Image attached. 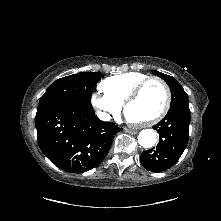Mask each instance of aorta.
I'll return each mask as SVG.
<instances>
[{"label": "aorta", "instance_id": "obj_1", "mask_svg": "<svg viewBox=\"0 0 221 221\" xmlns=\"http://www.w3.org/2000/svg\"><path fill=\"white\" fill-rule=\"evenodd\" d=\"M139 144L144 148H151L156 143V133L152 129H145L139 133Z\"/></svg>", "mask_w": 221, "mask_h": 221}]
</instances>
